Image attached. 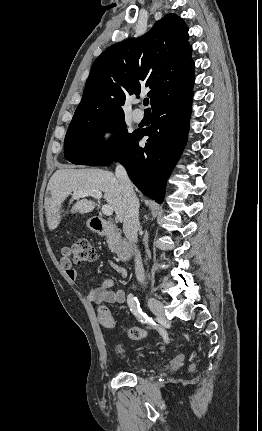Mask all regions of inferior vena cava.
Listing matches in <instances>:
<instances>
[{"label":"inferior vena cava","instance_id":"602c4592","mask_svg":"<svg viewBox=\"0 0 262 431\" xmlns=\"http://www.w3.org/2000/svg\"><path fill=\"white\" fill-rule=\"evenodd\" d=\"M115 175L124 192L123 231L129 241L137 243V232L140 226L139 200L134 192L133 185L128 177L126 169L122 165H117ZM135 274L137 280L143 283L145 280L144 268L141 254L137 249L135 255Z\"/></svg>","mask_w":262,"mask_h":431}]
</instances>
